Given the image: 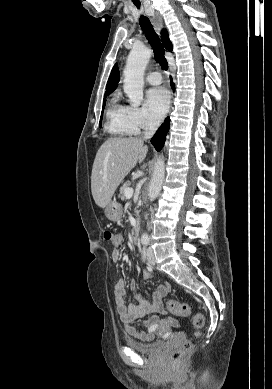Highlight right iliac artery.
<instances>
[{"label":"right iliac artery","instance_id":"1","mask_svg":"<svg viewBox=\"0 0 272 389\" xmlns=\"http://www.w3.org/2000/svg\"><path fill=\"white\" fill-rule=\"evenodd\" d=\"M146 255H147L146 248L143 247V250H142V259H143L144 262H145V260H146Z\"/></svg>","mask_w":272,"mask_h":389}]
</instances>
